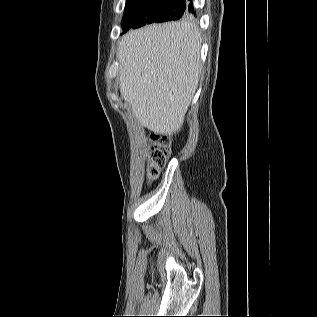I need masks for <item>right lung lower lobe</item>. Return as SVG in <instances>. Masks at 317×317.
Listing matches in <instances>:
<instances>
[{"instance_id": "98d812e1", "label": "right lung lower lobe", "mask_w": 317, "mask_h": 317, "mask_svg": "<svg viewBox=\"0 0 317 317\" xmlns=\"http://www.w3.org/2000/svg\"><path fill=\"white\" fill-rule=\"evenodd\" d=\"M179 3L184 6V11L190 14H196L192 0H179Z\"/></svg>"}]
</instances>
